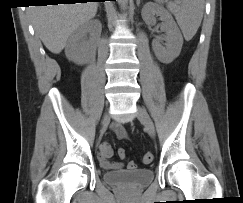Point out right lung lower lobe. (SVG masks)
Masks as SVG:
<instances>
[{"label": "right lung lower lobe", "mask_w": 243, "mask_h": 203, "mask_svg": "<svg viewBox=\"0 0 243 203\" xmlns=\"http://www.w3.org/2000/svg\"><path fill=\"white\" fill-rule=\"evenodd\" d=\"M40 1H44V0H40ZM48 1V0H47ZM62 2L61 3H75L76 1H86V0H61ZM96 1H105V0H96ZM111 1H116V0H111ZM87 3V2H86ZM43 4V3H41ZM40 5V4H39Z\"/></svg>", "instance_id": "right-lung-lower-lobe-1"}]
</instances>
